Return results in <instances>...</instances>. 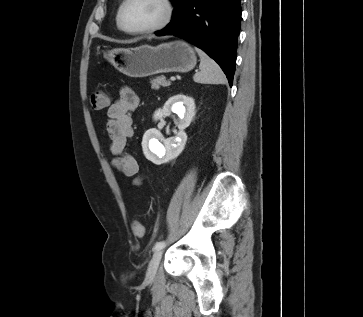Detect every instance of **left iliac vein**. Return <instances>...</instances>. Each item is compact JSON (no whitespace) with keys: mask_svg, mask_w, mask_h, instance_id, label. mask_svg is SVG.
<instances>
[{"mask_svg":"<svg viewBox=\"0 0 363 317\" xmlns=\"http://www.w3.org/2000/svg\"><path fill=\"white\" fill-rule=\"evenodd\" d=\"M162 254H163L162 249L155 251V253L153 254V257H152L151 261L149 262L147 272H146L147 280L151 281L155 278L160 260L162 258Z\"/></svg>","mask_w":363,"mask_h":317,"instance_id":"obj_1","label":"left iliac vein"}]
</instances>
